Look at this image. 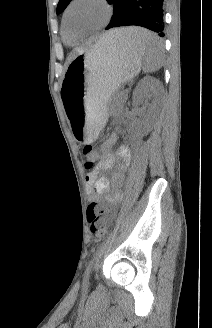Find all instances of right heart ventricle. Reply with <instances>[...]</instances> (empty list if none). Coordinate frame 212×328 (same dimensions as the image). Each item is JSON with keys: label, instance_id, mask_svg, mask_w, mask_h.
<instances>
[{"label": "right heart ventricle", "instance_id": "e07e8e85", "mask_svg": "<svg viewBox=\"0 0 212 328\" xmlns=\"http://www.w3.org/2000/svg\"><path fill=\"white\" fill-rule=\"evenodd\" d=\"M63 38L67 44H74L78 40V36L71 34L69 31H66L63 26Z\"/></svg>", "mask_w": 212, "mask_h": 328}]
</instances>
